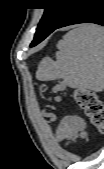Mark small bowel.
<instances>
[{
  "instance_id": "obj_1",
  "label": "small bowel",
  "mask_w": 104,
  "mask_h": 169,
  "mask_svg": "<svg viewBox=\"0 0 104 169\" xmlns=\"http://www.w3.org/2000/svg\"><path fill=\"white\" fill-rule=\"evenodd\" d=\"M57 134L60 140L83 137L85 135V122L77 115L66 116L61 121Z\"/></svg>"
}]
</instances>
